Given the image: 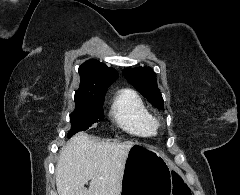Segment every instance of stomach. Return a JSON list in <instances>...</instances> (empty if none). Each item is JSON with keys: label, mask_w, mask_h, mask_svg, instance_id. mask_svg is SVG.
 <instances>
[{"label": "stomach", "mask_w": 240, "mask_h": 195, "mask_svg": "<svg viewBox=\"0 0 240 195\" xmlns=\"http://www.w3.org/2000/svg\"><path fill=\"white\" fill-rule=\"evenodd\" d=\"M170 173L163 151L136 141L128 149L119 195H171Z\"/></svg>", "instance_id": "0dacf381"}]
</instances>
